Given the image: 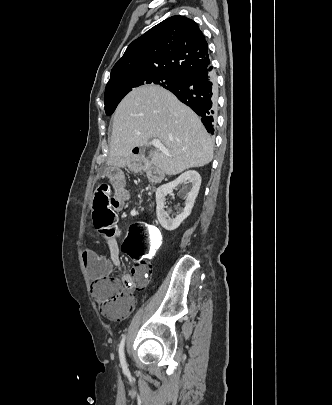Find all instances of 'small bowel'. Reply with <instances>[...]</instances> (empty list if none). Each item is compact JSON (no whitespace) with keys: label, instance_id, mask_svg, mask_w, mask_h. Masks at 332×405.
<instances>
[{"label":"small bowel","instance_id":"small-bowel-1","mask_svg":"<svg viewBox=\"0 0 332 405\" xmlns=\"http://www.w3.org/2000/svg\"><path fill=\"white\" fill-rule=\"evenodd\" d=\"M106 177L111 178V186L115 191L110 198L111 210L115 211L116 215H127L128 207L125 206V203L129 200V194L125 182L122 180L123 177H127V168H106ZM106 241L110 248V258L104 257L92 249H85L82 252V259L85 267L94 281L106 276L113 265L120 268L118 244L116 239L107 237ZM133 275L124 274L122 275V280L130 282ZM133 305V300L130 298L128 306L124 312L118 316H113L112 318L127 314L133 308Z\"/></svg>","mask_w":332,"mask_h":405}]
</instances>
